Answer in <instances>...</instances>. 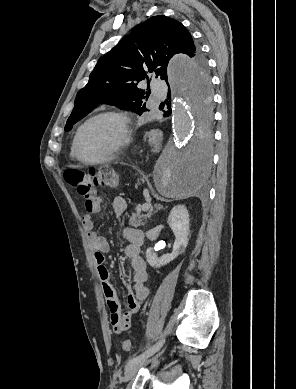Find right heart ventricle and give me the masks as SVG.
I'll use <instances>...</instances> for the list:
<instances>
[{"label":"right heart ventricle","instance_id":"obj_1","mask_svg":"<svg viewBox=\"0 0 296 389\" xmlns=\"http://www.w3.org/2000/svg\"><path fill=\"white\" fill-rule=\"evenodd\" d=\"M71 157L74 158V152H73V145H72V148H71Z\"/></svg>","mask_w":296,"mask_h":389}]
</instances>
